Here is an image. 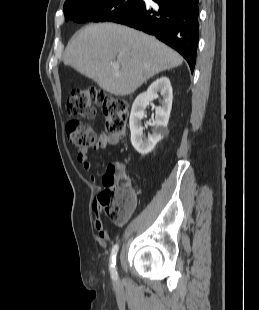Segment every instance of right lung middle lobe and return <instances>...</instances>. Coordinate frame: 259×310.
I'll return each mask as SVG.
<instances>
[{
	"instance_id": "obj_1",
	"label": "right lung middle lobe",
	"mask_w": 259,
	"mask_h": 310,
	"mask_svg": "<svg viewBox=\"0 0 259 310\" xmlns=\"http://www.w3.org/2000/svg\"><path fill=\"white\" fill-rule=\"evenodd\" d=\"M144 5L141 0H101L84 5L64 6L65 20L76 22H120Z\"/></svg>"
}]
</instances>
